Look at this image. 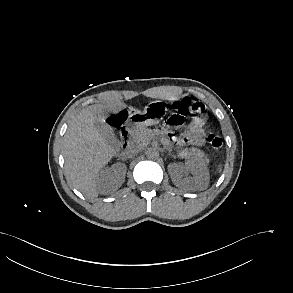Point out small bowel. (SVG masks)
I'll return each instance as SVG.
<instances>
[{
	"mask_svg": "<svg viewBox=\"0 0 293 293\" xmlns=\"http://www.w3.org/2000/svg\"><path fill=\"white\" fill-rule=\"evenodd\" d=\"M204 124L205 118L198 117L193 120L189 125V129L183 136V139H178L177 142L180 144L189 143L190 145L200 147L204 144Z\"/></svg>",
	"mask_w": 293,
	"mask_h": 293,
	"instance_id": "obj_1",
	"label": "small bowel"
}]
</instances>
